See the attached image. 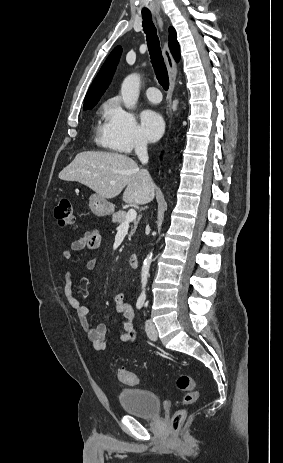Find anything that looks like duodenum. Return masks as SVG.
Listing matches in <instances>:
<instances>
[{
    "label": "duodenum",
    "instance_id": "obj_1",
    "mask_svg": "<svg viewBox=\"0 0 283 463\" xmlns=\"http://www.w3.org/2000/svg\"><path fill=\"white\" fill-rule=\"evenodd\" d=\"M129 265L131 268H136L138 265V257L136 255H131L129 258Z\"/></svg>",
    "mask_w": 283,
    "mask_h": 463
}]
</instances>
